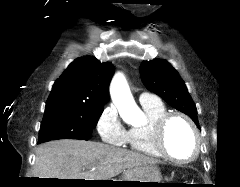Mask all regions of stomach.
Segmentation results:
<instances>
[{
    "mask_svg": "<svg viewBox=\"0 0 240 187\" xmlns=\"http://www.w3.org/2000/svg\"><path fill=\"white\" fill-rule=\"evenodd\" d=\"M162 175L160 169L155 164H148L132 170L124 172L121 186H143L157 187L158 183H162ZM139 182H157V183H139Z\"/></svg>",
    "mask_w": 240,
    "mask_h": 187,
    "instance_id": "1",
    "label": "stomach"
}]
</instances>
